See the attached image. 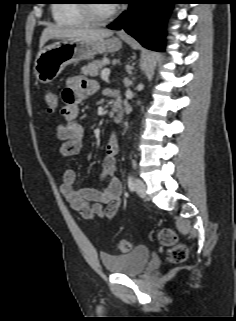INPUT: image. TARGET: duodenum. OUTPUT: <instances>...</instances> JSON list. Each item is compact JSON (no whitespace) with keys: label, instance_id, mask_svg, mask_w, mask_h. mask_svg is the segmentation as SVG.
<instances>
[{"label":"duodenum","instance_id":"410a0bca","mask_svg":"<svg viewBox=\"0 0 236 321\" xmlns=\"http://www.w3.org/2000/svg\"><path fill=\"white\" fill-rule=\"evenodd\" d=\"M111 114H112L113 120L116 123H121L123 121L124 111H123L122 105L118 101H115L112 104Z\"/></svg>","mask_w":236,"mask_h":321}]
</instances>
